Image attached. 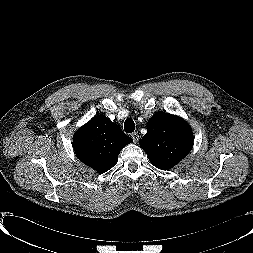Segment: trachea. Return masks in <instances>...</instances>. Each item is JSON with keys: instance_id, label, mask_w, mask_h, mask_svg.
<instances>
[{"instance_id": "obj_1", "label": "trachea", "mask_w": 253, "mask_h": 253, "mask_svg": "<svg viewBox=\"0 0 253 253\" xmlns=\"http://www.w3.org/2000/svg\"><path fill=\"white\" fill-rule=\"evenodd\" d=\"M124 130L126 133H132L135 130V124L132 119H127L124 123Z\"/></svg>"}]
</instances>
